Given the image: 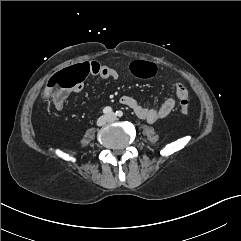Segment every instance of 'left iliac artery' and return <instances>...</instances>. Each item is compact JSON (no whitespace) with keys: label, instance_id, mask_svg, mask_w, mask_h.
I'll list each match as a JSON object with an SVG mask.
<instances>
[{"label":"left iliac artery","instance_id":"left-iliac-artery-1","mask_svg":"<svg viewBox=\"0 0 241 241\" xmlns=\"http://www.w3.org/2000/svg\"><path fill=\"white\" fill-rule=\"evenodd\" d=\"M116 115L118 117H122L123 116V112L121 110H118V111H116Z\"/></svg>","mask_w":241,"mask_h":241}]
</instances>
